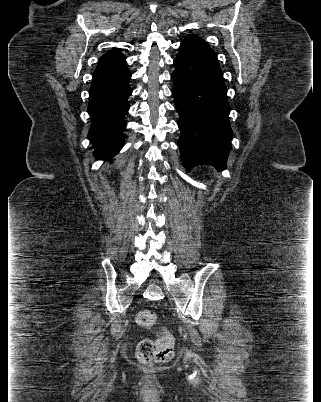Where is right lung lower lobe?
<instances>
[{"mask_svg": "<svg viewBox=\"0 0 321 402\" xmlns=\"http://www.w3.org/2000/svg\"><path fill=\"white\" fill-rule=\"evenodd\" d=\"M131 74L126 64L98 65L93 73L89 91L88 112L91 128L88 138L93 144L96 159H111L123 147L129 110L127 98Z\"/></svg>", "mask_w": 321, "mask_h": 402, "instance_id": "98d812e1", "label": "right lung lower lobe"}]
</instances>
